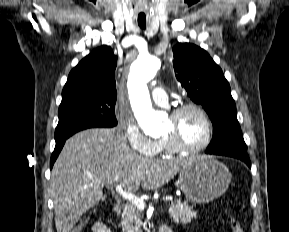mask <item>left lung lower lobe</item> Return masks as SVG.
Returning a JSON list of instances; mask_svg holds the SVG:
<instances>
[{"mask_svg": "<svg viewBox=\"0 0 289 232\" xmlns=\"http://www.w3.org/2000/svg\"><path fill=\"white\" fill-rule=\"evenodd\" d=\"M206 153L212 154V155H223V156L234 157V158L244 161L251 168L250 159L246 150H225V151H218V152H212V153L206 152Z\"/></svg>", "mask_w": 289, "mask_h": 232, "instance_id": "0a47b994", "label": "left lung lower lobe"}]
</instances>
